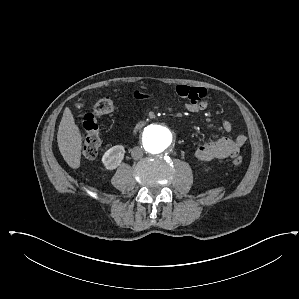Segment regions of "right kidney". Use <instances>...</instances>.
<instances>
[{"label":"right kidney","instance_id":"ca27d5eb","mask_svg":"<svg viewBox=\"0 0 299 299\" xmlns=\"http://www.w3.org/2000/svg\"><path fill=\"white\" fill-rule=\"evenodd\" d=\"M125 149L122 145H116L108 149L103 157L102 163L107 170L116 169L124 158Z\"/></svg>","mask_w":299,"mask_h":299}]
</instances>
